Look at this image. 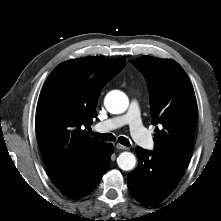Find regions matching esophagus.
Returning a JSON list of instances; mask_svg holds the SVG:
<instances>
[{
	"instance_id": "1",
	"label": "esophagus",
	"mask_w": 221,
	"mask_h": 221,
	"mask_svg": "<svg viewBox=\"0 0 221 221\" xmlns=\"http://www.w3.org/2000/svg\"><path fill=\"white\" fill-rule=\"evenodd\" d=\"M116 148L117 149H120V150H129L130 148L129 147H127V146H124V145H122V144H116Z\"/></svg>"
}]
</instances>
